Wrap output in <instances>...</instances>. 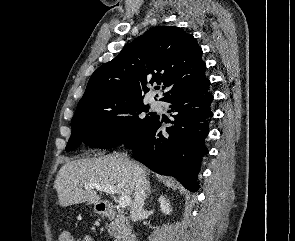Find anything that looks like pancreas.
Segmentation results:
<instances>
[{
	"label": "pancreas",
	"mask_w": 295,
	"mask_h": 241,
	"mask_svg": "<svg viewBox=\"0 0 295 241\" xmlns=\"http://www.w3.org/2000/svg\"><path fill=\"white\" fill-rule=\"evenodd\" d=\"M107 228L110 236H113L115 241H120L129 232L127 218L121 213H114V217L111 218Z\"/></svg>",
	"instance_id": "pancreas-1"
}]
</instances>
